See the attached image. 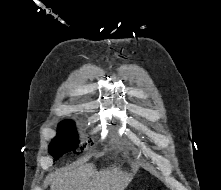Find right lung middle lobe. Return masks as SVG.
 <instances>
[{
  "instance_id": "1",
  "label": "right lung middle lobe",
  "mask_w": 221,
  "mask_h": 190,
  "mask_svg": "<svg viewBox=\"0 0 221 190\" xmlns=\"http://www.w3.org/2000/svg\"><path fill=\"white\" fill-rule=\"evenodd\" d=\"M78 137L72 121H63L58 126L57 136L49 145V153L58 158L63 153L78 147Z\"/></svg>"
}]
</instances>
